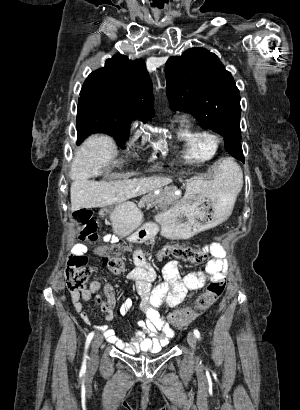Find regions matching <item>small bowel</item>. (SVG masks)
<instances>
[{
  "mask_svg": "<svg viewBox=\"0 0 300 410\" xmlns=\"http://www.w3.org/2000/svg\"><path fill=\"white\" fill-rule=\"evenodd\" d=\"M145 239L146 237H143L141 233H135L129 238L132 244ZM207 248L211 259L203 270L182 275L179 272L178 263L171 261L164 265L163 281L160 283H156V271L143 251L133 248L132 260L135 267L127 274V278L135 284L140 299V311L144 317L137 319V329L133 331V338L130 342L119 339L115 331L107 325L98 326L107 342L127 354H134L139 350L154 352L165 346L174 336V331L159 309L163 306L174 308L181 304L189 293L202 289L206 281L224 280L227 276L228 263L222 246L214 242L210 243ZM88 250V246L83 243H78L73 247V253L76 255L85 254ZM105 252V247L94 249V253L99 255ZM101 288H103L105 298L97 295ZM93 297L104 313L105 319L111 320L117 304L116 293L110 283L105 282L102 285L98 280L91 281L82 292H71L74 309L81 319L87 324L90 322L82 300L89 301ZM133 305V300L128 298L122 303L118 311L121 315H126Z\"/></svg>",
  "mask_w": 300,
  "mask_h": 410,
  "instance_id": "c3829d8e",
  "label": "small bowel"
}]
</instances>
